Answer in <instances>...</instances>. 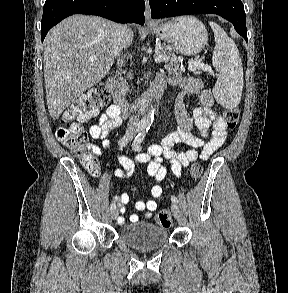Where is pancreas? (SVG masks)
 Listing matches in <instances>:
<instances>
[{
  "instance_id": "1",
  "label": "pancreas",
  "mask_w": 288,
  "mask_h": 293,
  "mask_svg": "<svg viewBox=\"0 0 288 293\" xmlns=\"http://www.w3.org/2000/svg\"><path fill=\"white\" fill-rule=\"evenodd\" d=\"M157 55H164V56L168 57V59L165 61L164 68L170 74H173L176 77H180L182 72L185 71L184 67H180V65L178 64L177 58L172 54L169 46H166V45L162 46L159 49ZM194 63H195L194 61H190L189 65H193ZM120 80H121V82L119 83V86H120L121 90L128 91L129 89L126 86V83L124 82V80L122 78Z\"/></svg>"
}]
</instances>
